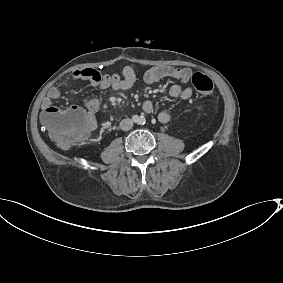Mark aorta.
<instances>
[{"label":"aorta","mask_w":283,"mask_h":283,"mask_svg":"<svg viewBox=\"0 0 283 283\" xmlns=\"http://www.w3.org/2000/svg\"><path fill=\"white\" fill-rule=\"evenodd\" d=\"M135 122L137 124H144L145 123V118L142 117V116H138V117H136Z\"/></svg>","instance_id":"obj_1"}]
</instances>
